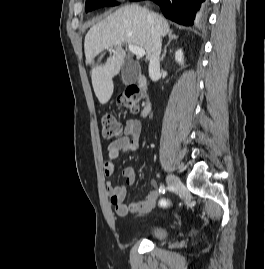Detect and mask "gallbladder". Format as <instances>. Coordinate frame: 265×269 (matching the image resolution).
<instances>
[{
  "mask_svg": "<svg viewBox=\"0 0 265 269\" xmlns=\"http://www.w3.org/2000/svg\"><path fill=\"white\" fill-rule=\"evenodd\" d=\"M121 73L123 83L129 85L137 80L140 69L133 61L127 59L122 65Z\"/></svg>",
  "mask_w": 265,
  "mask_h": 269,
  "instance_id": "1",
  "label": "gallbladder"
}]
</instances>
